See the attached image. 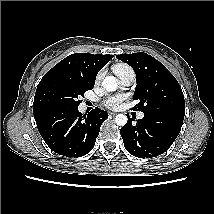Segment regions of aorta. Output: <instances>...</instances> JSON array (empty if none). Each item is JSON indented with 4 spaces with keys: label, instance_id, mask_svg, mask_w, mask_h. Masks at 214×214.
<instances>
[{
    "label": "aorta",
    "instance_id": "1",
    "mask_svg": "<svg viewBox=\"0 0 214 214\" xmlns=\"http://www.w3.org/2000/svg\"><path fill=\"white\" fill-rule=\"evenodd\" d=\"M117 79L114 76H107L103 81H102V87L106 91H115L117 89ZM127 116L124 114H118L115 117V122L119 126H124L127 123Z\"/></svg>",
    "mask_w": 214,
    "mask_h": 214
}]
</instances>
